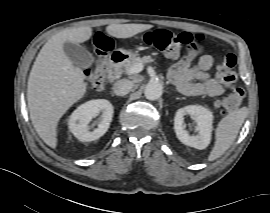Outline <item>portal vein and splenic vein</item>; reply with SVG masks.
Wrapping results in <instances>:
<instances>
[{
	"mask_svg": "<svg viewBox=\"0 0 270 213\" xmlns=\"http://www.w3.org/2000/svg\"><path fill=\"white\" fill-rule=\"evenodd\" d=\"M144 66L142 63H137L134 66H132L130 69H128L126 71L127 74L132 75V74H136L139 73L143 70Z\"/></svg>",
	"mask_w": 270,
	"mask_h": 213,
	"instance_id": "1",
	"label": "portal vein and splenic vein"
}]
</instances>
